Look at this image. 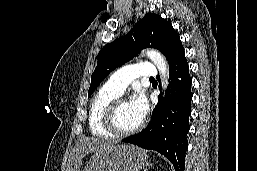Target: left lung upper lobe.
Segmentation results:
<instances>
[{
	"instance_id": "obj_1",
	"label": "left lung upper lobe",
	"mask_w": 257,
	"mask_h": 171,
	"mask_svg": "<svg viewBox=\"0 0 257 171\" xmlns=\"http://www.w3.org/2000/svg\"><path fill=\"white\" fill-rule=\"evenodd\" d=\"M147 47L158 49L167 60L183 48L180 37L169 22L159 15L147 13L128 34L101 49L97 66L91 76L88 97L111 71Z\"/></svg>"
}]
</instances>
